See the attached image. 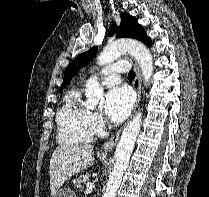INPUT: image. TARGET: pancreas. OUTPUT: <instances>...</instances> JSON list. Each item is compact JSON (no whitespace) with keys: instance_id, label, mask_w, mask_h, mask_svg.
Listing matches in <instances>:
<instances>
[{"instance_id":"pancreas-1","label":"pancreas","mask_w":209,"mask_h":197,"mask_svg":"<svg viewBox=\"0 0 209 197\" xmlns=\"http://www.w3.org/2000/svg\"><path fill=\"white\" fill-rule=\"evenodd\" d=\"M90 179L91 176L89 173L81 174L79 176H76V178L73 179L72 183L77 187H81V184L83 182H88Z\"/></svg>"}]
</instances>
